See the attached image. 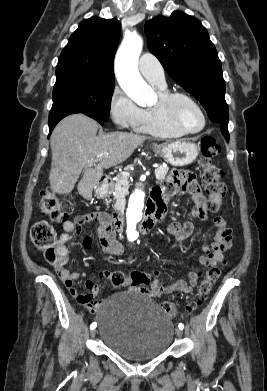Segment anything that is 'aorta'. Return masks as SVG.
Masks as SVG:
<instances>
[{
	"label": "aorta",
	"mask_w": 267,
	"mask_h": 391,
	"mask_svg": "<svg viewBox=\"0 0 267 391\" xmlns=\"http://www.w3.org/2000/svg\"><path fill=\"white\" fill-rule=\"evenodd\" d=\"M142 48L141 36L126 34L116 54L115 69L118 83L124 93L138 105L145 106L153 98V92L138 70ZM144 199L145 193L141 189H136L130 196L126 214L129 239L138 236L137 227L142 218Z\"/></svg>",
	"instance_id": "762f6f07"
}]
</instances>
